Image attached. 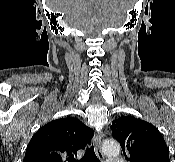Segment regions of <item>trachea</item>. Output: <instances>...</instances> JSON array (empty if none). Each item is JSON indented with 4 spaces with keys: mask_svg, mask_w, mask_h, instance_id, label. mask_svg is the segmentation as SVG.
<instances>
[{
    "mask_svg": "<svg viewBox=\"0 0 175 162\" xmlns=\"http://www.w3.org/2000/svg\"><path fill=\"white\" fill-rule=\"evenodd\" d=\"M79 162H99L95 151L93 144L90 147H87L86 152L81 160Z\"/></svg>",
    "mask_w": 175,
    "mask_h": 162,
    "instance_id": "3493384b",
    "label": "trachea"
}]
</instances>
